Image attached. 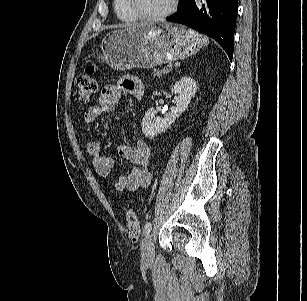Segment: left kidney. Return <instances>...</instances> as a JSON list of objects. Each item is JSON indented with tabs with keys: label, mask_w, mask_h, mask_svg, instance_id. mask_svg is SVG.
Instances as JSON below:
<instances>
[{
	"label": "left kidney",
	"mask_w": 307,
	"mask_h": 301,
	"mask_svg": "<svg viewBox=\"0 0 307 301\" xmlns=\"http://www.w3.org/2000/svg\"><path fill=\"white\" fill-rule=\"evenodd\" d=\"M197 89L196 81L188 76L182 77L171 88L175 94V107L165 117H157L154 108H150L143 117L142 131L148 138H153L167 130L170 125L187 109L191 99L194 97Z\"/></svg>",
	"instance_id": "obj_1"
}]
</instances>
